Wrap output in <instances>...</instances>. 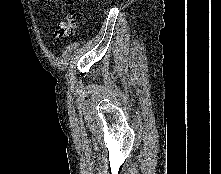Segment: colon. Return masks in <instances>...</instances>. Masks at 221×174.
<instances>
[{"mask_svg": "<svg viewBox=\"0 0 221 174\" xmlns=\"http://www.w3.org/2000/svg\"><path fill=\"white\" fill-rule=\"evenodd\" d=\"M78 26L77 19L74 14L69 13L58 23L56 30V39L63 40L73 36Z\"/></svg>", "mask_w": 221, "mask_h": 174, "instance_id": "colon-1", "label": "colon"}]
</instances>
